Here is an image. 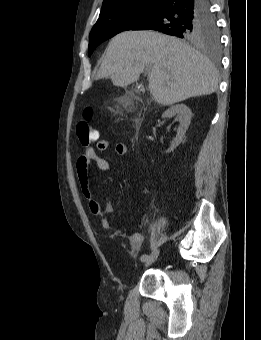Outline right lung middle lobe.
I'll return each instance as SVG.
<instances>
[{"label": "right lung middle lobe", "mask_w": 261, "mask_h": 340, "mask_svg": "<svg viewBox=\"0 0 261 340\" xmlns=\"http://www.w3.org/2000/svg\"><path fill=\"white\" fill-rule=\"evenodd\" d=\"M162 0L135 1L103 11L89 35V56L94 49L114 35L131 30L150 15ZM182 38L192 42L217 45L219 32L212 13L191 19L184 29Z\"/></svg>", "instance_id": "dd1d6c3e"}]
</instances>
